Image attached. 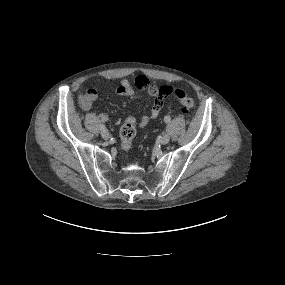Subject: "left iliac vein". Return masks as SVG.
Segmentation results:
<instances>
[{
	"mask_svg": "<svg viewBox=\"0 0 285 285\" xmlns=\"http://www.w3.org/2000/svg\"><path fill=\"white\" fill-rule=\"evenodd\" d=\"M170 141V136L168 134H163L160 138L161 144H167Z\"/></svg>",
	"mask_w": 285,
	"mask_h": 285,
	"instance_id": "obj_1",
	"label": "left iliac vein"
}]
</instances>
